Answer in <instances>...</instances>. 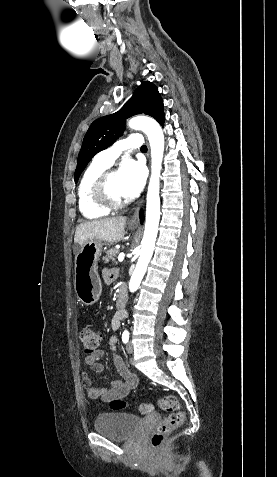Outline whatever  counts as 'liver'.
Here are the masks:
<instances>
[{"mask_svg":"<svg viewBox=\"0 0 277 477\" xmlns=\"http://www.w3.org/2000/svg\"><path fill=\"white\" fill-rule=\"evenodd\" d=\"M126 221V217L119 216L83 222L76 228L74 242L79 246L90 240L119 242L125 235Z\"/></svg>","mask_w":277,"mask_h":477,"instance_id":"obj_1","label":"liver"}]
</instances>
